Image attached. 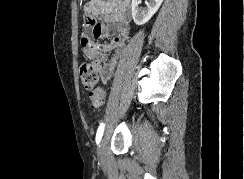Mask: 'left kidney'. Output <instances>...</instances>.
I'll use <instances>...</instances> for the list:
<instances>
[{"label":"left kidney","instance_id":"obj_1","mask_svg":"<svg viewBox=\"0 0 244 179\" xmlns=\"http://www.w3.org/2000/svg\"><path fill=\"white\" fill-rule=\"evenodd\" d=\"M140 2L141 0H132L131 4L133 20L137 26H143V24H146L154 16L163 0H149L147 2V8H140Z\"/></svg>","mask_w":244,"mask_h":179}]
</instances>
